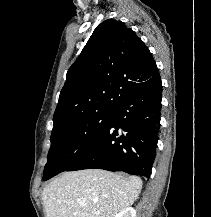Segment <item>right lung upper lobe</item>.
Wrapping results in <instances>:
<instances>
[{
	"label": "right lung upper lobe",
	"instance_id": "cb5924a9",
	"mask_svg": "<svg viewBox=\"0 0 211 217\" xmlns=\"http://www.w3.org/2000/svg\"><path fill=\"white\" fill-rule=\"evenodd\" d=\"M147 46L126 25H98L66 75L53 127L77 116L115 110L130 94L159 77Z\"/></svg>",
	"mask_w": 211,
	"mask_h": 217
}]
</instances>
